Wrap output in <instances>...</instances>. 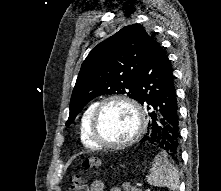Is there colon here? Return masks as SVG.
Instances as JSON below:
<instances>
[{
  "label": "colon",
  "instance_id": "1",
  "mask_svg": "<svg viewBox=\"0 0 221 191\" xmlns=\"http://www.w3.org/2000/svg\"><path fill=\"white\" fill-rule=\"evenodd\" d=\"M83 165L86 168H93L98 165V160L87 159L84 161ZM69 191H89V187L86 180L83 177L77 175L73 178Z\"/></svg>",
  "mask_w": 221,
  "mask_h": 191
}]
</instances>
